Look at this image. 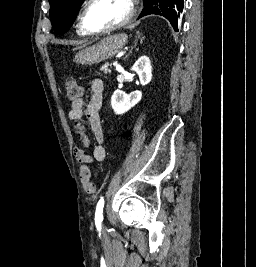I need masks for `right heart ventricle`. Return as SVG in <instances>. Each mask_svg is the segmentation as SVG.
I'll return each mask as SVG.
<instances>
[{"mask_svg": "<svg viewBox=\"0 0 256 267\" xmlns=\"http://www.w3.org/2000/svg\"><path fill=\"white\" fill-rule=\"evenodd\" d=\"M75 29H76V34H77L78 36H89L88 34H86V33L81 29L80 24H79V21L77 22Z\"/></svg>", "mask_w": 256, "mask_h": 267, "instance_id": "e07e8e85", "label": "right heart ventricle"}]
</instances>
